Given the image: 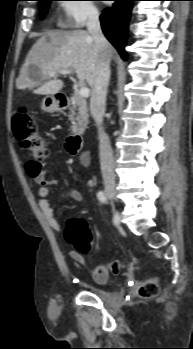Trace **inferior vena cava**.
<instances>
[{
  "label": "inferior vena cava",
  "instance_id": "602c4592",
  "mask_svg": "<svg viewBox=\"0 0 193 349\" xmlns=\"http://www.w3.org/2000/svg\"><path fill=\"white\" fill-rule=\"evenodd\" d=\"M87 29L94 38L101 55L95 71V79L90 99V111L98 127L99 156L103 182L105 185H114L115 174L113 151L109 137L102 127L107 87L110 79V56L108 54L109 43L101 30L99 13L96 9H91L88 13Z\"/></svg>",
  "mask_w": 193,
  "mask_h": 349
}]
</instances>
